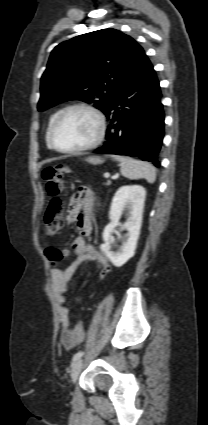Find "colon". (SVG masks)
Returning <instances> with one entry per match:
<instances>
[{
  "label": "colon",
  "mask_w": 208,
  "mask_h": 425,
  "mask_svg": "<svg viewBox=\"0 0 208 425\" xmlns=\"http://www.w3.org/2000/svg\"><path fill=\"white\" fill-rule=\"evenodd\" d=\"M68 172L69 168L65 165L50 166L42 172L46 190L52 197L44 216L45 228L48 235H56L63 224L61 193L64 189L65 175ZM68 254L66 251L53 247L46 250V256L51 261L53 267L59 266L64 256ZM109 272V266L102 267L99 270V279H105Z\"/></svg>",
  "instance_id": "obj_1"
}]
</instances>
